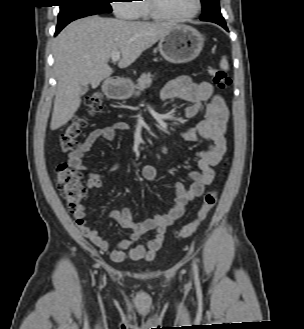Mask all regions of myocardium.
<instances>
[{
  "instance_id": "obj_1",
  "label": "myocardium",
  "mask_w": 304,
  "mask_h": 329,
  "mask_svg": "<svg viewBox=\"0 0 304 329\" xmlns=\"http://www.w3.org/2000/svg\"><path fill=\"white\" fill-rule=\"evenodd\" d=\"M195 2H196L195 8L191 13L182 16H173L163 11L161 6L159 5L158 0H147L151 15L157 20L168 21V22H182L197 16L202 8V1L195 0Z\"/></svg>"
}]
</instances>
